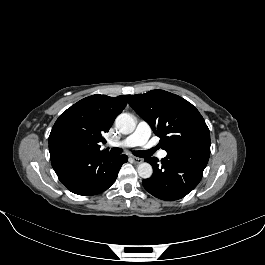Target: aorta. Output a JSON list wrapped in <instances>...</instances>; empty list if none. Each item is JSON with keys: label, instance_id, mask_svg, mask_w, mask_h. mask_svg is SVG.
Segmentation results:
<instances>
[{"label": "aorta", "instance_id": "aorta-1", "mask_svg": "<svg viewBox=\"0 0 265 265\" xmlns=\"http://www.w3.org/2000/svg\"><path fill=\"white\" fill-rule=\"evenodd\" d=\"M115 125L122 134L126 135L134 131L136 127V121L131 114L122 113L117 116ZM137 172L141 178L147 179L152 176L153 168L149 163L143 162L138 165Z\"/></svg>", "mask_w": 265, "mask_h": 265}]
</instances>
